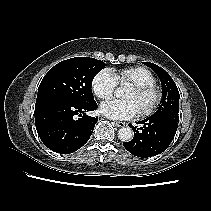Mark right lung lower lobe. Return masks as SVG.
Instances as JSON below:
<instances>
[{
    "instance_id": "right-lung-lower-lobe-1",
    "label": "right lung lower lobe",
    "mask_w": 211,
    "mask_h": 211,
    "mask_svg": "<svg viewBox=\"0 0 211 211\" xmlns=\"http://www.w3.org/2000/svg\"><path fill=\"white\" fill-rule=\"evenodd\" d=\"M98 108L94 101L68 103L42 101L35 104V125L44 145L61 154L73 153L90 138L98 117L86 114Z\"/></svg>"
}]
</instances>
